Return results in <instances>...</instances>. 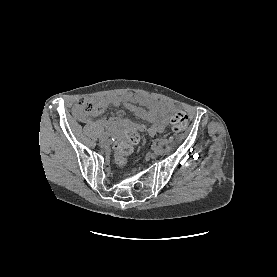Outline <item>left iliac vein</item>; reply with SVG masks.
Wrapping results in <instances>:
<instances>
[{"mask_svg":"<svg viewBox=\"0 0 277 277\" xmlns=\"http://www.w3.org/2000/svg\"><path fill=\"white\" fill-rule=\"evenodd\" d=\"M152 151L155 155H162L164 152V148L161 145H157L153 147Z\"/></svg>","mask_w":277,"mask_h":277,"instance_id":"4c4485c4","label":"left iliac vein"}]
</instances>
